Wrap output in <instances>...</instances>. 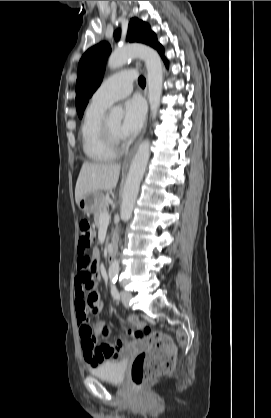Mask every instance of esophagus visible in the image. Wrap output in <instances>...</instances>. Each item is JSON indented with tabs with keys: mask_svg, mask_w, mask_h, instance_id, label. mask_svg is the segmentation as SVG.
Instances as JSON below:
<instances>
[{
	"mask_svg": "<svg viewBox=\"0 0 271 418\" xmlns=\"http://www.w3.org/2000/svg\"><path fill=\"white\" fill-rule=\"evenodd\" d=\"M144 74H145V76L147 75L146 70H144ZM147 93H148V90H147V87H146V89H145V97H146V98H147ZM146 129H147V121H146V123H145V127H144V129H143V132H142L141 136L139 137V139H138V140H137V142L135 143V145H134V147L132 148V150L130 151V153H129V154L126 156V158L124 159V161H123V166H129V164L131 163V160H132V158H133V155H134V153H135V151H136L137 147L139 146L140 142L142 141V139H143V137H144V135H145Z\"/></svg>",
	"mask_w": 271,
	"mask_h": 418,
	"instance_id": "1",
	"label": "esophagus"
}]
</instances>
